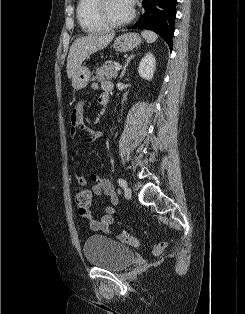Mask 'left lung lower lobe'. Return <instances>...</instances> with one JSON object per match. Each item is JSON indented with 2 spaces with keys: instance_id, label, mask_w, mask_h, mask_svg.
<instances>
[{
  "instance_id": "obj_1",
  "label": "left lung lower lobe",
  "mask_w": 245,
  "mask_h": 314,
  "mask_svg": "<svg viewBox=\"0 0 245 314\" xmlns=\"http://www.w3.org/2000/svg\"><path fill=\"white\" fill-rule=\"evenodd\" d=\"M177 0H143L144 13L129 29L143 28L156 32L172 49Z\"/></svg>"
}]
</instances>
